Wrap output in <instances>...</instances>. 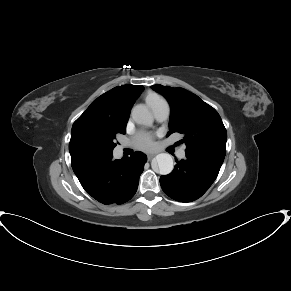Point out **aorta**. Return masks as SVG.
Wrapping results in <instances>:
<instances>
[{
    "label": "aorta",
    "mask_w": 291,
    "mask_h": 291,
    "mask_svg": "<svg viewBox=\"0 0 291 291\" xmlns=\"http://www.w3.org/2000/svg\"><path fill=\"white\" fill-rule=\"evenodd\" d=\"M132 119L140 125L150 126L153 123V116L144 105H137L132 109ZM155 162L161 175L170 174L174 168L173 158L168 153L158 154Z\"/></svg>",
    "instance_id": "obj_1"
}]
</instances>
